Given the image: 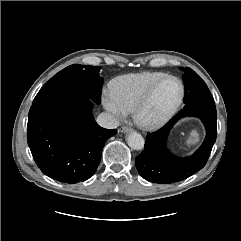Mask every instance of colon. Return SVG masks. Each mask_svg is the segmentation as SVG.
Returning <instances> with one entry per match:
<instances>
[{
    "label": "colon",
    "mask_w": 241,
    "mask_h": 241,
    "mask_svg": "<svg viewBox=\"0 0 241 241\" xmlns=\"http://www.w3.org/2000/svg\"><path fill=\"white\" fill-rule=\"evenodd\" d=\"M199 134L197 132H194L192 135H191V138H190V142L191 143H196L199 141Z\"/></svg>",
    "instance_id": "5ec220e1"
}]
</instances>
